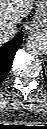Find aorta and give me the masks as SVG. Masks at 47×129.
<instances>
[{
    "mask_svg": "<svg viewBox=\"0 0 47 129\" xmlns=\"http://www.w3.org/2000/svg\"><path fill=\"white\" fill-rule=\"evenodd\" d=\"M26 48L32 54H44L47 52V40L41 34H32L26 40Z\"/></svg>",
    "mask_w": 47,
    "mask_h": 129,
    "instance_id": "1",
    "label": "aorta"
}]
</instances>
